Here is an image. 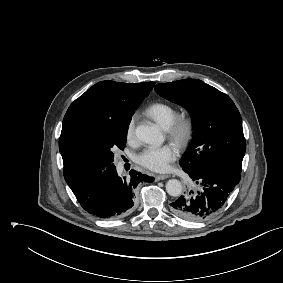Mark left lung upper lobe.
Here are the masks:
<instances>
[{
    "label": "left lung upper lobe",
    "mask_w": 283,
    "mask_h": 283,
    "mask_svg": "<svg viewBox=\"0 0 283 283\" xmlns=\"http://www.w3.org/2000/svg\"><path fill=\"white\" fill-rule=\"evenodd\" d=\"M155 90L192 117L193 140L180 160L183 170L224 168L241 173L246 143L240 113L228 95L198 79L160 83Z\"/></svg>",
    "instance_id": "obj_1"
}]
</instances>
